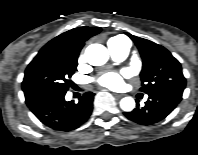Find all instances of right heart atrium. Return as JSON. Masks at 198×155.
I'll return each mask as SVG.
<instances>
[{"label":"right heart atrium","instance_id":"right-heart-atrium-1","mask_svg":"<svg viewBox=\"0 0 198 155\" xmlns=\"http://www.w3.org/2000/svg\"><path fill=\"white\" fill-rule=\"evenodd\" d=\"M84 59V54H81L79 60L82 61Z\"/></svg>","mask_w":198,"mask_h":155}]
</instances>
